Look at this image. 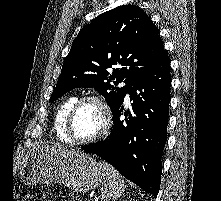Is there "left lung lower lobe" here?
<instances>
[{"instance_id": "obj_1", "label": "left lung lower lobe", "mask_w": 221, "mask_h": 201, "mask_svg": "<svg viewBox=\"0 0 221 201\" xmlns=\"http://www.w3.org/2000/svg\"><path fill=\"white\" fill-rule=\"evenodd\" d=\"M170 85V60L165 55L128 89L133 102L132 112L125 113L127 118L120 120L123 98L112 112L114 129L110 136L82 147L155 197L160 189V158L167 136Z\"/></svg>"}]
</instances>
